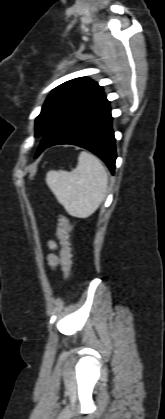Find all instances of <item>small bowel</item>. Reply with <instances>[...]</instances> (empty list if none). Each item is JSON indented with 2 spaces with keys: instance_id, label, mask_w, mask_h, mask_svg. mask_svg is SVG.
Here are the masks:
<instances>
[{
  "instance_id": "small-bowel-1",
  "label": "small bowel",
  "mask_w": 165,
  "mask_h": 419,
  "mask_svg": "<svg viewBox=\"0 0 165 419\" xmlns=\"http://www.w3.org/2000/svg\"><path fill=\"white\" fill-rule=\"evenodd\" d=\"M49 246H50V248H51V249H53V250H55V249H57V248H58V245H57V244H56V242H54V241H50V242H49ZM47 260H48V264H49L52 268L57 267V265L59 264V258H58V256H57V255H55L54 253L49 254V255H48V257H47Z\"/></svg>"
}]
</instances>
